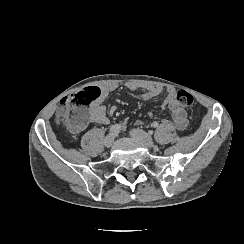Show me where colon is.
<instances>
[{
    "label": "colon",
    "instance_id": "1",
    "mask_svg": "<svg viewBox=\"0 0 244 244\" xmlns=\"http://www.w3.org/2000/svg\"><path fill=\"white\" fill-rule=\"evenodd\" d=\"M101 90L96 85H89L78 92H73L68 97V103L61 102L57 108L56 118L66 124L70 132L81 131L91 119V112L85 108L98 101ZM172 104L191 106L194 102L193 95L186 89L178 88L170 98Z\"/></svg>",
    "mask_w": 244,
    "mask_h": 244
}]
</instances>
